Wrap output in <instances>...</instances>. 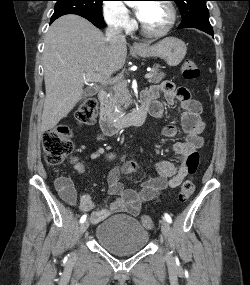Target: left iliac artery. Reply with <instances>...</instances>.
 Segmentation results:
<instances>
[{
    "label": "left iliac artery",
    "instance_id": "1",
    "mask_svg": "<svg viewBox=\"0 0 250 285\" xmlns=\"http://www.w3.org/2000/svg\"><path fill=\"white\" fill-rule=\"evenodd\" d=\"M164 217H165V219H166L167 222H169V223L172 222V219H171V217H170L169 214L165 213Z\"/></svg>",
    "mask_w": 250,
    "mask_h": 285
}]
</instances>
